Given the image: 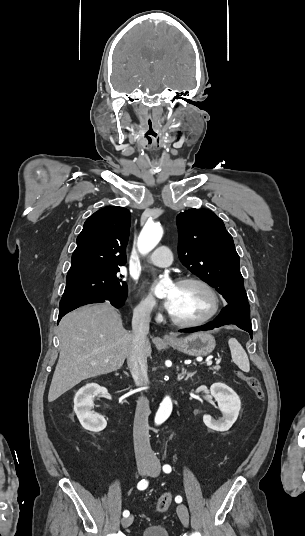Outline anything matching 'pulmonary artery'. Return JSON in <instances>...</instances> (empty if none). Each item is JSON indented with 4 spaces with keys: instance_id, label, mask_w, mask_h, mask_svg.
I'll use <instances>...</instances> for the list:
<instances>
[{
    "instance_id": "1",
    "label": "pulmonary artery",
    "mask_w": 305,
    "mask_h": 536,
    "mask_svg": "<svg viewBox=\"0 0 305 536\" xmlns=\"http://www.w3.org/2000/svg\"><path fill=\"white\" fill-rule=\"evenodd\" d=\"M171 250L167 246H159L154 249L147 257V262L159 266L166 267L172 264L173 258L170 257Z\"/></svg>"
}]
</instances>
